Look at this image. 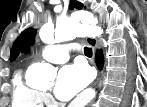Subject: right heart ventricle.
Wrapping results in <instances>:
<instances>
[{
    "label": "right heart ventricle",
    "mask_w": 147,
    "mask_h": 107,
    "mask_svg": "<svg viewBox=\"0 0 147 107\" xmlns=\"http://www.w3.org/2000/svg\"><path fill=\"white\" fill-rule=\"evenodd\" d=\"M44 103V94L29 86L23 78L22 71H17L12 80L13 107H43Z\"/></svg>",
    "instance_id": "1"
}]
</instances>
